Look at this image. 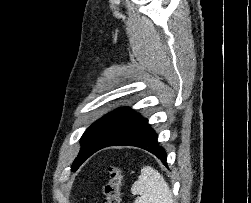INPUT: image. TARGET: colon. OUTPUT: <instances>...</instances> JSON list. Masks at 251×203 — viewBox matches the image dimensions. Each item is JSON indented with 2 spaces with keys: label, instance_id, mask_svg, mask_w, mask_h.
Masks as SVG:
<instances>
[{
  "label": "colon",
  "instance_id": "1",
  "mask_svg": "<svg viewBox=\"0 0 251 203\" xmlns=\"http://www.w3.org/2000/svg\"><path fill=\"white\" fill-rule=\"evenodd\" d=\"M107 170L109 178L102 186L103 203H121L122 169L116 165H109Z\"/></svg>",
  "mask_w": 251,
  "mask_h": 203
}]
</instances>
